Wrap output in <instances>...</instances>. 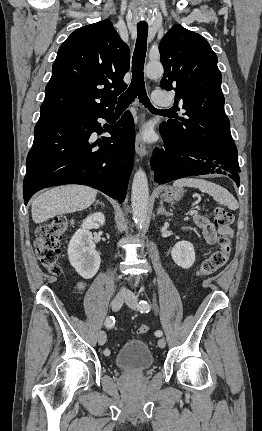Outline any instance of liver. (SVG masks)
<instances>
[{
	"instance_id": "6515ba94",
	"label": "liver",
	"mask_w": 262,
	"mask_h": 431,
	"mask_svg": "<svg viewBox=\"0 0 262 431\" xmlns=\"http://www.w3.org/2000/svg\"><path fill=\"white\" fill-rule=\"evenodd\" d=\"M96 190L81 185L52 188L32 200V219L36 224L54 216L84 210L96 200Z\"/></svg>"
}]
</instances>
